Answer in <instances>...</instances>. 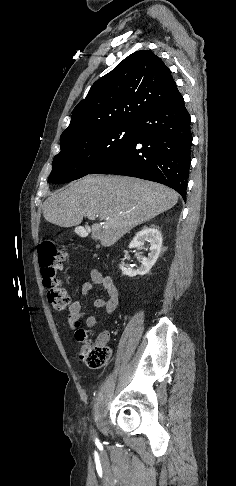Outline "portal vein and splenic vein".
I'll return each mask as SVG.
<instances>
[{
	"mask_svg": "<svg viewBox=\"0 0 236 486\" xmlns=\"http://www.w3.org/2000/svg\"><path fill=\"white\" fill-rule=\"evenodd\" d=\"M87 217L91 220L95 219L96 217H98V215L94 214V213H91V212H88L87 214Z\"/></svg>",
	"mask_w": 236,
	"mask_h": 486,
	"instance_id": "1",
	"label": "portal vein and splenic vein"
}]
</instances>
